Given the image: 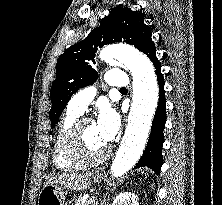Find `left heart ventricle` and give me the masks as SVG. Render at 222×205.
I'll return each instance as SVG.
<instances>
[{
    "instance_id": "1",
    "label": "left heart ventricle",
    "mask_w": 222,
    "mask_h": 205,
    "mask_svg": "<svg viewBox=\"0 0 222 205\" xmlns=\"http://www.w3.org/2000/svg\"><path fill=\"white\" fill-rule=\"evenodd\" d=\"M81 147L87 156H97L108 147V144L101 139L95 123L89 122L83 126Z\"/></svg>"
}]
</instances>
